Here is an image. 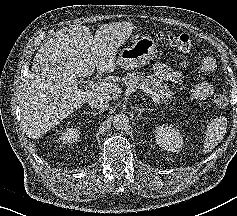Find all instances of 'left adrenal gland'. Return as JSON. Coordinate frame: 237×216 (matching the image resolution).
Returning a JSON list of instances; mask_svg holds the SVG:
<instances>
[{
	"mask_svg": "<svg viewBox=\"0 0 237 216\" xmlns=\"http://www.w3.org/2000/svg\"><path fill=\"white\" fill-rule=\"evenodd\" d=\"M136 110L138 111V115H140L142 112L146 111L145 108H143V109L136 108Z\"/></svg>",
	"mask_w": 237,
	"mask_h": 216,
	"instance_id": "a2214340",
	"label": "left adrenal gland"
}]
</instances>
